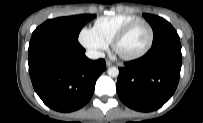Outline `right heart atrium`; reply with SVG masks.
<instances>
[{"label": "right heart atrium", "mask_w": 203, "mask_h": 123, "mask_svg": "<svg viewBox=\"0 0 203 123\" xmlns=\"http://www.w3.org/2000/svg\"><path fill=\"white\" fill-rule=\"evenodd\" d=\"M79 42L95 55H100L108 48V44L97 35L93 28H82L79 33Z\"/></svg>", "instance_id": "1"}]
</instances>
